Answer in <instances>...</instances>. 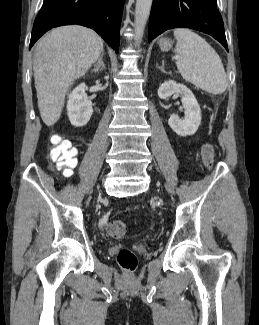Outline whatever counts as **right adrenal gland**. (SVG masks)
<instances>
[{"instance_id": "2a0ac1e0", "label": "right adrenal gland", "mask_w": 259, "mask_h": 325, "mask_svg": "<svg viewBox=\"0 0 259 325\" xmlns=\"http://www.w3.org/2000/svg\"><path fill=\"white\" fill-rule=\"evenodd\" d=\"M103 56H104V52H102V54H101V56L99 57L97 63L94 64V67H93V69L91 70L92 72H94V73H99V71H103V70H105V64H104V62L102 61Z\"/></svg>"}]
</instances>
